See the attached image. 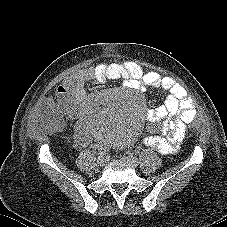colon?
Masks as SVG:
<instances>
[{
    "label": "colon",
    "instance_id": "1",
    "mask_svg": "<svg viewBox=\"0 0 227 227\" xmlns=\"http://www.w3.org/2000/svg\"><path fill=\"white\" fill-rule=\"evenodd\" d=\"M181 135L188 141H191L195 138L196 133L193 128L189 125H185L180 130Z\"/></svg>",
    "mask_w": 227,
    "mask_h": 227
}]
</instances>
